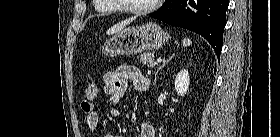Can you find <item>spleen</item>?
<instances>
[{"instance_id": "spleen-1", "label": "spleen", "mask_w": 280, "mask_h": 137, "mask_svg": "<svg viewBox=\"0 0 280 137\" xmlns=\"http://www.w3.org/2000/svg\"><path fill=\"white\" fill-rule=\"evenodd\" d=\"M190 45H191V40L185 38V39L183 40V46H184V47H187V46H190Z\"/></svg>"}]
</instances>
